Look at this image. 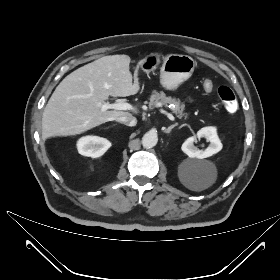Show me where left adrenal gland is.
<instances>
[{"label":"left adrenal gland","mask_w":280,"mask_h":280,"mask_svg":"<svg viewBox=\"0 0 280 280\" xmlns=\"http://www.w3.org/2000/svg\"><path fill=\"white\" fill-rule=\"evenodd\" d=\"M177 125H178V124L175 123V124L169 126L167 129H164V133H170L171 130H172L174 127H176Z\"/></svg>","instance_id":"left-adrenal-gland-1"}]
</instances>
